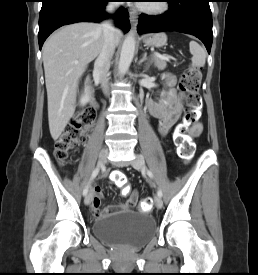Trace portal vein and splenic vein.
Instances as JSON below:
<instances>
[{
	"label": "portal vein and splenic vein",
	"instance_id": "portal-vein-and-splenic-vein-1",
	"mask_svg": "<svg viewBox=\"0 0 258 275\" xmlns=\"http://www.w3.org/2000/svg\"><path fill=\"white\" fill-rule=\"evenodd\" d=\"M155 56L159 57L160 59L162 60H166L168 61L171 57L170 56H167V55H161L159 53H154Z\"/></svg>",
	"mask_w": 258,
	"mask_h": 275
}]
</instances>
